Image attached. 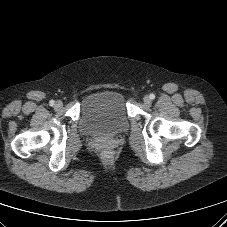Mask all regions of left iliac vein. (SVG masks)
Listing matches in <instances>:
<instances>
[{"label": "left iliac vein", "mask_w": 227, "mask_h": 227, "mask_svg": "<svg viewBox=\"0 0 227 227\" xmlns=\"http://www.w3.org/2000/svg\"><path fill=\"white\" fill-rule=\"evenodd\" d=\"M143 102H144V104L145 105H150L151 104V99H150V97L149 96H145L144 98H143Z\"/></svg>", "instance_id": "left-iliac-vein-1"}]
</instances>
